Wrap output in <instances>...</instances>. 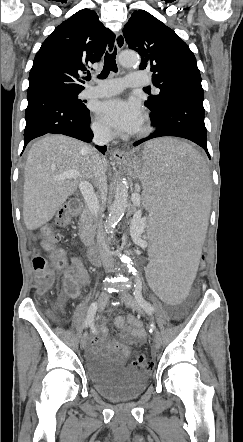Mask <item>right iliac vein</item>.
<instances>
[{"label":"right iliac vein","instance_id":"obj_1","mask_svg":"<svg viewBox=\"0 0 243 442\" xmlns=\"http://www.w3.org/2000/svg\"><path fill=\"white\" fill-rule=\"evenodd\" d=\"M108 299H109V294H108L107 291H103V292H101L99 294L98 300H97V308H98V310L102 309L105 306V304L107 303ZM88 340H89V331L86 330L83 333L82 337H81L80 345H81L82 349L86 348Z\"/></svg>","mask_w":243,"mask_h":442}]
</instances>
